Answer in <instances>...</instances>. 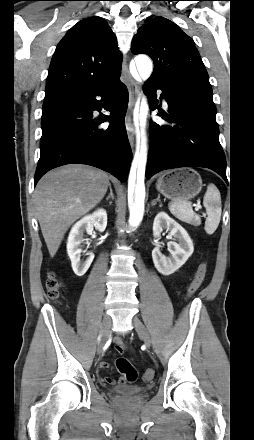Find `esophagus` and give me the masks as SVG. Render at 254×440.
<instances>
[{"label":"esophagus","mask_w":254,"mask_h":440,"mask_svg":"<svg viewBox=\"0 0 254 440\" xmlns=\"http://www.w3.org/2000/svg\"><path fill=\"white\" fill-rule=\"evenodd\" d=\"M125 60H127V59H125ZM122 70H123V74L126 79V86L128 88V92H129V103H128V111H127V114L125 117V126H126L130 145L132 148H134L135 129H134V126L132 123V110L135 105L136 99L139 95V86L132 78L126 61L123 64Z\"/></svg>","instance_id":"esophagus-1"}]
</instances>
